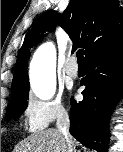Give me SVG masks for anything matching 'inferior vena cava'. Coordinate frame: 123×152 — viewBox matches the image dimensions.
<instances>
[{"label":"inferior vena cava","mask_w":123,"mask_h":152,"mask_svg":"<svg viewBox=\"0 0 123 152\" xmlns=\"http://www.w3.org/2000/svg\"><path fill=\"white\" fill-rule=\"evenodd\" d=\"M56 127L59 133L63 136L67 144V148H68L67 152H76L72 146V140H71L72 138L69 133L70 119L66 111H62L59 113L57 117Z\"/></svg>","instance_id":"1"}]
</instances>
